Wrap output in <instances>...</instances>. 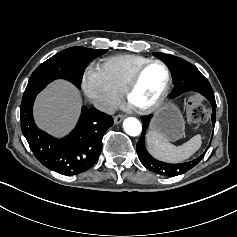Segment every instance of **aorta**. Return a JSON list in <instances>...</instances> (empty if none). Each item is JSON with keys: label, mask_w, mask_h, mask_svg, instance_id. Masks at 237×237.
<instances>
[{"label": "aorta", "mask_w": 237, "mask_h": 237, "mask_svg": "<svg viewBox=\"0 0 237 237\" xmlns=\"http://www.w3.org/2000/svg\"><path fill=\"white\" fill-rule=\"evenodd\" d=\"M123 129L130 136H138L142 131V126L138 119L128 117L123 122Z\"/></svg>", "instance_id": "1"}]
</instances>
